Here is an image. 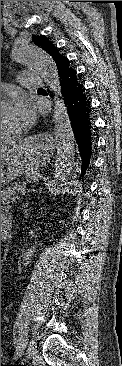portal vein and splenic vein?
Wrapping results in <instances>:
<instances>
[{"instance_id":"18ae733b","label":"portal vein and splenic vein","mask_w":122,"mask_h":366,"mask_svg":"<svg viewBox=\"0 0 122 366\" xmlns=\"http://www.w3.org/2000/svg\"><path fill=\"white\" fill-rule=\"evenodd\" d=\"M25 192V190L21 191V193L23 194Z\"/></svg>"}]
</instances>
